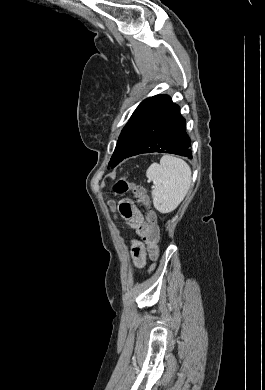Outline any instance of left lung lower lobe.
<instances>
[{
	"instance_id": "obj_1",
	"label": "left lung lower lobe",
	"mask_w": 265,
	"mask_h": 390,
	"mask_svg": "<svg viewBox=\"0 0 265 390\" xmlns=\"http://www.w3.org/2000/svg\"><path fill=\"white\" fill-rule=\"evenodd\" d=\"M191 141L180 108L168 95H156L142 108L132 134L119 155L123 159L143 153H170L192 158Z\"/></svg>"
}]
</instances>
